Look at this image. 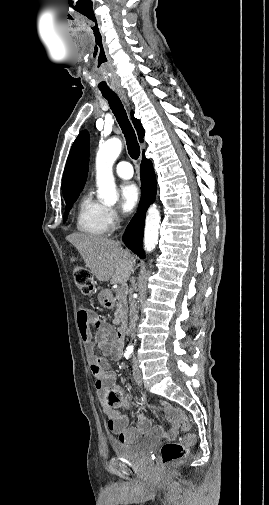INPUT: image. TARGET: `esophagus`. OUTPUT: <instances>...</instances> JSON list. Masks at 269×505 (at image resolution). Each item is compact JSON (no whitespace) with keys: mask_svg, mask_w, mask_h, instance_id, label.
<instances>
[{"mask_svg":"<svg viewBox=\"0 0 269 505\" xmlns=\"http://www.w3.org/2000/svg\"><path fill=\"white\" fill-rule=\"evenodd\" d=\"M117 92L120 95V97L123 99V101L126 103V105L129 106V102H128V99H127V96H126L124 90L119 89Z\"/></svg>","mask_w":269,"mask_h":505,"instance_id":"esophagus-1","label":"esophagus"}]
</instances>
